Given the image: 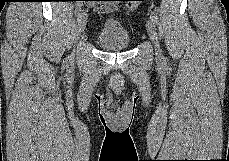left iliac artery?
Masks as SVG:
<instances>
[{
	"mask_svg": "<svg viewBox=\"0 0 229 161\" xmlns=\"http://www.w3.org/2000/svg\"><path fill=\"white\" fill-rule=\"evenodd\" d=\"M150 18L157 24L159 22V18L155 12H151Z\"/></svg>",
	"mask_w": 229,
	"mask_h": 161,
	"instance_id": "1",
	"label": "left iliac artery"
}]
</instances>
